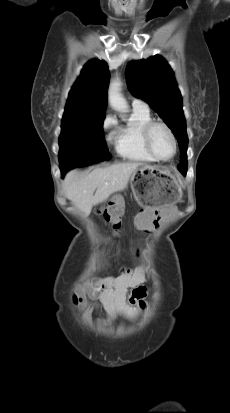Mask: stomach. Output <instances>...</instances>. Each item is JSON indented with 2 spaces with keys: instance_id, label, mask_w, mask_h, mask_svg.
I'll return each instance as SVG.
<instances>
[{
  "instance_id": "0dacf381",
  "label": "stomach",
  "mask_w": 230,
  "mask_h": 413,
  "mask_svg": "<svg viewBox=\"0 0 230 413\" xmlns=\"http://www.w3.org/2000/svg\"><path fill=\"white\" fill-rule=\"evenodd\" d=\"M131 189L137 203L146 209L174 205L182 196L179 179L162 166L137 168L131 176Z\"/></svg>"
}]
</instances>
